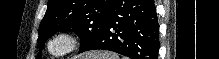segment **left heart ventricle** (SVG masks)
I'll list each match as a JSON object with an SVG mask.
<instances>
[{
	"mask_svg": "<svg viewBox=\"0 0 219 59\" xmlns=\"http://www.w3.org/2000/svg\"><path fill=\"white\" fill-rule=\"evenodd\" d=\"M61 46H62V44H61V43H58V44L55 45V48H56V49H59V48H61Z\"/></svg>",
	"mask_w": 219,
	"mask_h": 59,
	"instance_id": "b2bd125f",
	"label": "left heart ventricle"
}]
</instances>
